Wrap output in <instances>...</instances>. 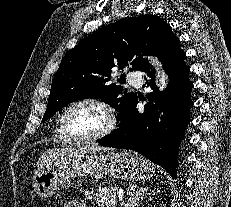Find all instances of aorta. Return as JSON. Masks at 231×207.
<instances>
[{
    "label": "aorta",
    "instance_id": "762f6f07",
    "mask_svg": "<svg viewBox=\"0 0 231 207\" xmlns=\"http://www.w3.org/2000/svg\"><path fill=\"white\" fill-rule=\"evenodd\" d=\"M148 59L157 67L158 77H159L158 86L160 90H163L167 86L168 77L164 71L159 70L160 63L157 61V59L153 57H148Z\"/></svg>",
    "mask_w": 231,
    "mask_h": 207
}]
</instances>
